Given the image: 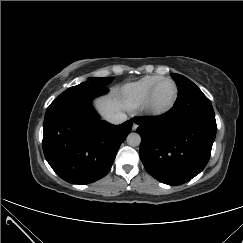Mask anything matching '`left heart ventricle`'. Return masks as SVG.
<instances>
[{
	"label": "left heart ventricle",
	"instance_id": "1",
	"mask_svg": "<svg viewBox=\"0 0 243 243\" xmlns=\"http://www.w3.org/2000/svg\"><path fill=\"white\" fill-rule=\"evenodd\" d=\"M175 88L171 82L162 84L155 93L153 103L156 107L168 105L174 97Z\"/></svg>",
	"mask_w": 243,
	"mask_h": 243
}]
</instances>
